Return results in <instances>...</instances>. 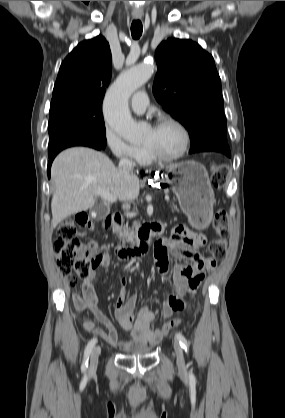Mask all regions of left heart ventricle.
Listing matches in <instances>:
<instances>
[{"mask_svg": "<svg viewBox=\"0 0 285 418\" xmlns=\"http://www.w3.org/2000/svg\"><path fill=\"white\" fill-rule=\"evenodd\" d=\"M182 142L183 137L178 128L173 125H164L159 128L151 127L143 145L151 147L163 156H171L180 150Z\"/></svg>", "mask_w": 285, "mask_h": 418, "instance_id": "1", "label": "left heart ventricle"}]
</instances>
